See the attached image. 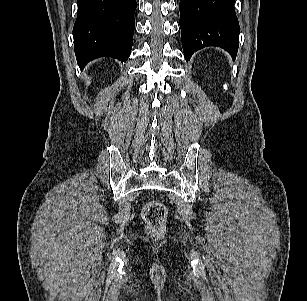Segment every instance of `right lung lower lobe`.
Listing matches in <instances>:
<instances>
[{
  "instance_id": "obj_1",
  "label": "right lung lower lobe",
  "mask_w": 307,
  "mask_h": 301,
  "mask_svg": "<svg viewBox=\"0 0 307 301\" xmlns=\"http://www.w3.org/2000/svg\"><path fill=\"white\" fill-rule=\"evenodd\" d=\"M73 28L75 54L81 69L98 57L125 62L133 44L136 0H77Z\"/></svg>"
}]
</instances>
